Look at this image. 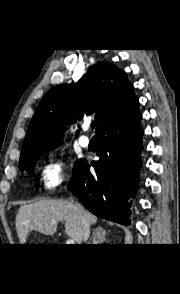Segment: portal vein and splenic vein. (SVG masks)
<instances>
[{"label":"portal vein and splenic vein","instance_id":"18ae733b","mask_svg":"<svg viewBox=\"0 0 180 294\" xmlns=\"http://www.w3.org/2000/svg\"><path fill=\"white\" fill-rule=\"evenodd\" d=\"M66 244L73 245V244H75V241L73 239H68L66 241Z\"/></svg>","mask_w":180,"mask_h":294}]
</instances>
